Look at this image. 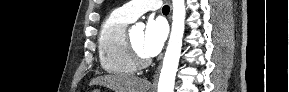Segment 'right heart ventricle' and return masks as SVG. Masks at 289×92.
Wrapping results in <instances>:
<instances>
[{"mask_svg":"<svg viewBox=\"0 0 289 92\" xmlns=\"http://www.w3.org/2000/svg\"><path fill=\"white\" fill-rule=\"evenodd\" d=\"M132 21L115 10L101 25L98 35L99 61L107 73L126 75L133 74L137 69L126 49V28Z\"/></svg>","mask_w":289,"mask_h":92,"instance_id":"right-heart-ventricle-1","label":"right heart ventricle"}]
</instances>
